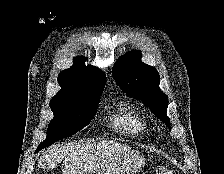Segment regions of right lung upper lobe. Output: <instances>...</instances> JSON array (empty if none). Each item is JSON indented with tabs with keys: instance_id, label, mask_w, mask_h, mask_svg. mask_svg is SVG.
I'll list each match as a JSON object with an SVG mask.
<instances>
[{
	"instance_id": "1",
	"label": "right lung upper lobe",
	"mask_w": 224,
	"mask_h": 174,
	"mask_svg": "<svg viewBox=\"0 0 224 174\" xmlns=\"http://www.w3.org/2000/svg\"><path fill=\"white\" fill-rule=\"evenodd\" d=\"M75 59L73 66L59 74L61 90L50 103H72L100 98L106 83L104 73L94 66H85L83 57Z\"/></svg>"
}]
</instances>
